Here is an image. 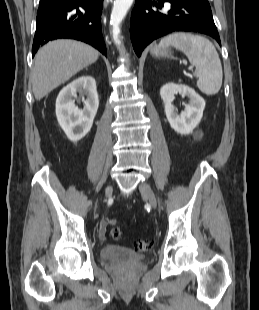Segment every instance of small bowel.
Returning a JSON list of instances; mask_svg holds the SVG:
<instances>
[{"label":"small bowel","mask_w":259,"mask_h":310,"mask_svg":"<svg viewBox=\"0 0 259 310\" xmlns=\"http://www.w3.org/2000/svg\"><path fill=\"white\" fill-rule=\"evenodd\" d=\"M106 229H107V226L104 222H101L100 225H99V237L101 239H105L106 237Z\"/></svg>","instance_id":"c3829d8e"}]
</instances>
